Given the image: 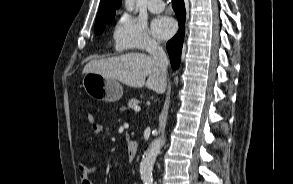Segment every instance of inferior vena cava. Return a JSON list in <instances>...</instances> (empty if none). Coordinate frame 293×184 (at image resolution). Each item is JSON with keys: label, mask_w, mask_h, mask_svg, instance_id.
I'll list each match as a JSON object with an SVG mask.
<instances>
[{"label": "inferior vena cava", "mask_w": 293, "mask_h": 184, "mask_svg": "<svg viewBox=\"0 0 293 184\" xmlns=\"http://www.w3.org/2000/svg\"><path fill=\"white\" fill-rule=\"evenodd\" d=\"M148 52L152 56L153 62L157 68L160 78L166 83L168 57L163 48L158 43H152L148 47Z\"/></svg>", "instance_id": "602c4592"}]
</instances>
